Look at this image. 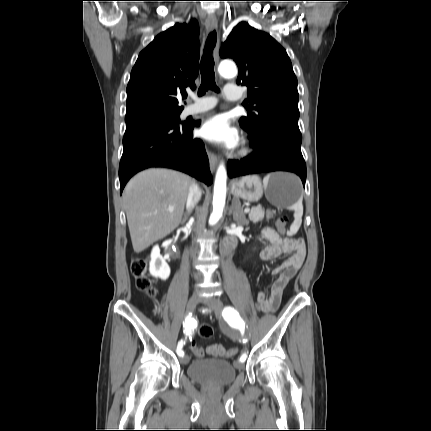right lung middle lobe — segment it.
<instances>
[{"label":"right lung middle lobe","instance_id":"right-lung-middle-lobe-1","mask_svg":"<svg viewBox=\"0 0 431 431\" xmlns=\"http://www.w3.org/2000/svg\"><path fill=\"white\" fill-rule=\"evenodd\" d=\"M180 113H181V111L169 112V113H160V114L147 116V117L137 119V120L126 121V127L138 124L140 122L150 121V120H170V121L179 122Z\"/></svg>","mask_w":431,"mask_h":431}]
</instances>
